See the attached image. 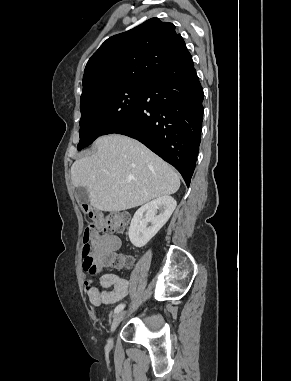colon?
<instances>
[{"label":"colon","mask_w":291,"mask_h":381,"mask_svg":"<svg viewBox=\"0 0 291 381\" xmlns=\"http://www.w3.org/2000/svg\"><path fill=\"white\" fill-rule=\"evenodd\" d=\"M83 210L91 223L84 230L82 237L83 268L90 274H95L102 267L122 268L132 264L131 257L118 255L115 252L103 251L99 253L98 246L94 243V235L99 232L112 234L123 232L127 229L130 216L122 212L104 213L92 209L84 204Z\"/></svg>","instance_id":"1"}]
</instances>
